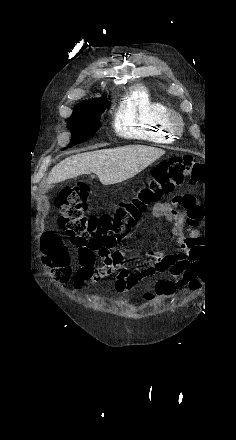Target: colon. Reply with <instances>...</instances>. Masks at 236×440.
Masks as SVG:
<instances>
[{"mask_svg":"<svg viewBox=\"0 0 236 440\" xmlns=\"http://www.w3.org/2000/svg\"><path fill=\"white\" fill-rule=\"evenodd\" d=\"M202 177L200 165L193 157H172L159 163L146 184L136 194L122 200L113 214L101 216L87 213L91 193L87 184L68 187L56 199V206L61 212L59 226L76 246L93 250L111 249L130 234L150 204L177 187L195 185ZM62 243L54 232H47L43 236L45 263L56 278H65L69 274V267L59 252ZM197 285L193 283L190 288L195 290ZM172 289L173 283L170 281L157 284L161 294H169Z\"/></svg>","mask_w":236,"mask_h":440,"instance_id":"1","label":"colon"}]
</instances>
